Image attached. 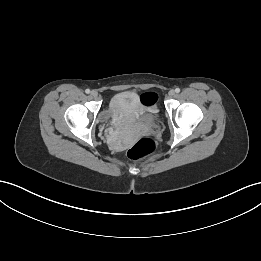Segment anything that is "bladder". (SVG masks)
<instances>
[{
  "mask_svg": "<svg viewBox=\"0 0 261 261\" xmlns=\"http://www.w3.org/2000/svg\"><path fill=\"white\" fill-rule=\"evenodd\" d=\"M108 113L120 125H153L158 120L156 111L134 91H122L113 96Z\"/></svg>",
  "mask_w": 261,
  "mask_h": 261,
  "instance_id": "31cf9c89",
  "label": "bladder"
}]
</instances>
